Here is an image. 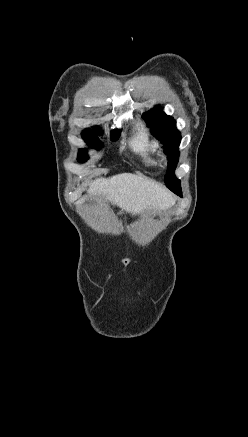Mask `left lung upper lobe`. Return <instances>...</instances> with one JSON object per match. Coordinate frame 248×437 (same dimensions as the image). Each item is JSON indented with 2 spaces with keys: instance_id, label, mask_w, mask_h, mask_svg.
I'll return each instance as SVG.
<instances>
[{
  "instance_id": "1",
  "label": "left lung upper lobe",
  "mask_w": 248,
  "mask_h": 437,
  "mask_svg": "<svg viewBox=\"0 0 248 437\" xmlns=\"http://www.w3.org/2000/svg\"><path fill=\"white\" fill-rule=\"evenodd\" d=\"M142 118L151 128V133L164 145L169 160L168 170L165 175L166 186L172 192L181 196L180 180L174 174L179 157L178 146L181 141V134L176 129V121L171 116L166 115L159 107L144 113Z\"/></svg>"
}]
</instances>
